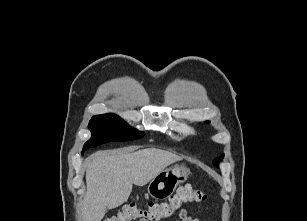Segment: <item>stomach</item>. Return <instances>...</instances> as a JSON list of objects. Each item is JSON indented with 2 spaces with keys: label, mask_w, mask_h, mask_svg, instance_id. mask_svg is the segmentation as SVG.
<instances>
[{
  "label": "stomach",
  "mask_w": 307,
  "mask_h": 221,
  "mask_svg": "<svg viewBox=\"0 0 307 221\" xmlns=\"http://www.w3.org/2000/svg\"><path fill=\"white\" fill-rule=\"evenodd\" d=\"M189 174V169L181 165L166 168L149 182L148 193L155 199L169 198L176 187L183 183Z\"/></svg>",
  "instance_id": "obj_1"
}]
</instances>
